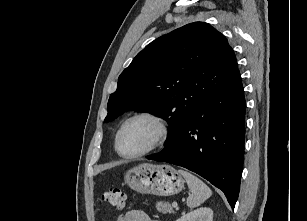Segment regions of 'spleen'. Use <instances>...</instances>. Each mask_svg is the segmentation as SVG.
Returning a JSON list of instances; mask_svg holds the SVG:
<instances>
[{"mask_svg": "<svg viewBox=\"0 0 307 221\" xmlns=\"http://www.w3.org/2000/svg\"><path fill=\"white\" fill-rule=\"evenodd\" d=\"M179 173L185 178L191 191L187 198V206L189 208L200 206L212 195L211 189L198 177L185 170H179Z\"/></svg>", "mask_w": 307, "mask_h": 221, "instance_id": "1", "label": "spleen"}]
</instances>
